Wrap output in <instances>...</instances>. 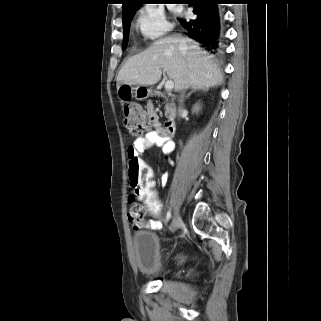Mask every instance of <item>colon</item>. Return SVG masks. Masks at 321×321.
<instances>
[{"label": "colon", "instance_id": "5ec220e1", "mask_svg": "<svg viewBox=\"0 0 321 321\" xmlns=\"http://www.w3.org/2000/svg\"><path fill=\"white\" fill-rule=\"evenodd\" d=\"M155 117L153 114L146 112L136 103H129L124 107V125L131 135H138L147 130ZM129 181L134 189L130 197V209L128 219L139 228L143 223L144 213L148 216H156L155 220H160L161 212H165L166 207L162 205L159 197V191H155V180L149 167L138 156L129 157ZM136 198H143L144 208L136 203Z\"/></svg>", "mask_w": 321, "mask_h": 321}]
</instances>
